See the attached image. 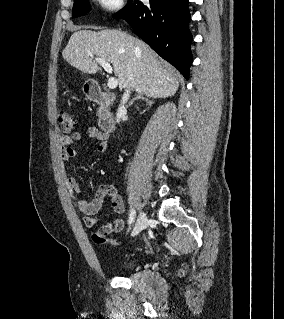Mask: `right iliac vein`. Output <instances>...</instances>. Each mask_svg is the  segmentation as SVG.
<instances>
[{"label": "right iliac vein", "instance_id": "1", "mask_svg": "<svg viewBox=\"0 0 284 319\" xmlns=\"http://www.w3.org/2000/svg\"><path fill=\"white\" fill-rule=\"evenodd\" d=\"M146 224H147L146 213L141 212L140 215L138 216L137 221L135 223V226L133 228L132 236L139 234L146 227Z\"/></svg>", "mask_w": 284, "mask_h": 319}]
</instances>
